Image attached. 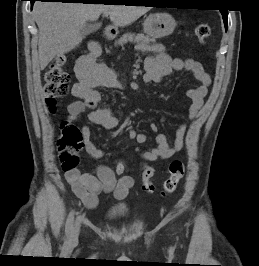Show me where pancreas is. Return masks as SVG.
Here are the masks:
<instances>
[{
	"instance_id": "cf45deb5",
	"label": "pancreas",
	"mask_w": 259,
	"mask_h": 266,
	"mask_svg": "<svg viewBox=\"0 0 259 266\" xmlns=\"http://www.w3.org/2000/svg\"><path fill=\"white\" fill-rule=\"evenodd\" d=\"M128 42L134 43V44H138L140 46H142L144 49L146 50H153L154 46L152 44L155 43V40L145 36L144 34L140 33V34H131V33H127L124 34L116 43L115 45H124Z\"/></svg>"
}]
</instances>
